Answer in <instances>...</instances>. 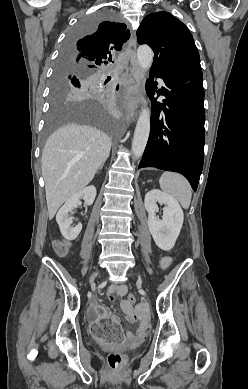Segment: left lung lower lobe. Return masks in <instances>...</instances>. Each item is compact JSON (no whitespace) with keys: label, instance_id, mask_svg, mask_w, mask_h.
Instances as JSON below:
<instances>
[{"label":"left lung lower lobe","instance_id":"left-lung-lower-lobe-1","mask_svg":"<svg viewBox=\"0 0 248 389\" xmlns=\"http://www.w3.org/2000/svg\"><path fill=\"white\" fill-rule=\"evenodd\" d=\"M147 92L153 99L149 139L139 167H156L184 175L194 191L197 190L204 161L205 109L202 70L183 69L163 73L150 70ZM165 85L157 97L165 96L163 103L154 98L157 83Z\"/></svg>","mask_w":248,"mask_h":389}]
</instances>
